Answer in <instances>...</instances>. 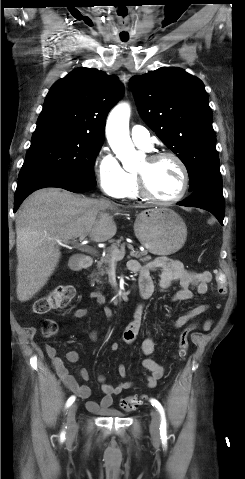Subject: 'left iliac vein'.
<instances>
[{
	"label": "left iliac vein",
	"instance_id": "4c4485c4",
	"mask_svg": "<svg viewBox=\"0 0 245 479\" xmlns=\"http://www.w3.org/2000/svg\"><path fill=\"white\" fill-rule=\"evenodd\" d=\"M160 414L156 409L151 410L150 432L155 438L159 437Z\"/></svg>",
	"mask_w": 245,
	"mask_h": 479
}]
</instances>
